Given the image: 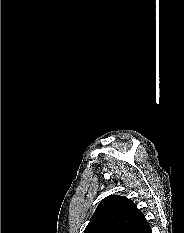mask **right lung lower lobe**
I'll list each match as a JSON object with an SVG mask.
<instances>
[{"instance_id":"obj_1","label":"right lung lower lobe","mask_w":184,"mask_h":233,"mask_svg":"<svg viewBox=\"0 0 184 233\" xmlns=\"http://www.w3.org/2000/svg\"><path fill=\"white\" fill-rule=\"evenodd\" d=\"M136 233H152L149 223L146 221L137 231Z\"/></svg>"}]
</instances>
